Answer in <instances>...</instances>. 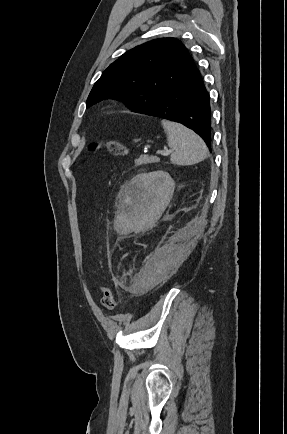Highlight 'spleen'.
<instances>
[{"label":"spleen","instance_id":"3e777b00","mask_svg":"<svg viewBox=\"0 0 287 434\" xmlns=\"http://www.w3.org/2000/svg\"><path fill=\"white\" fill-rule=\"evenodd\" d=\"M161 123L167 134L168 145L173 151L170 156L173 164L193 165L207 157V146L196 133L179 123L168 120H162Z\"/></svg>","mask_w":287,"mask_h":434}]
</instances>
